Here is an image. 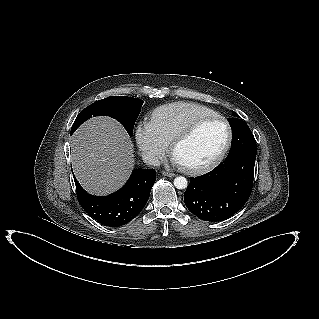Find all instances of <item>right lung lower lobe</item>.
<instances>
[{"label": "right lung lower lobe", "mask_w": 319, "mask_h": 319, "mask_svg": "<svg viewBox=\"0 0 319 319\" xmlns=\"http://www.w3.org/2000/svg\"><path fill=\"white\" fill-rule=\"evenodd\" d=\"M155 180L154 169H135L117 192L109 196H93L74 176L80 205L92 218L108 227L122 226L136 217L146 205Z\"/></svg>", "instance_id": "right-lung-lower-lobe-1"}]
</instances>
